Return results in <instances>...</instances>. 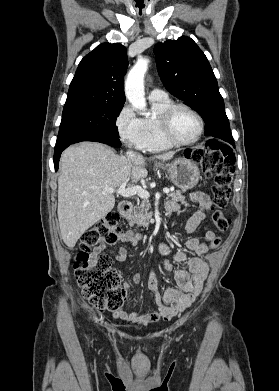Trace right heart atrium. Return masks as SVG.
<instances>
[{
    "instance_id": "d8ad5b80",
    "label": "right heart atrium",
    "mask_w": 279,
    "mask_h": 391,
    "mask_svg": "<svg viewBox=\"0 0 279 391\" xmlns=\"http://www.w3.org/2000/svg\"><path fill=\"white\" fill-rule=\"evenodd\" d=\"M115 128L122 143L141 149L142 124L131 106L125 104L115 117Z\"/></svg>"
}]
</instances>
